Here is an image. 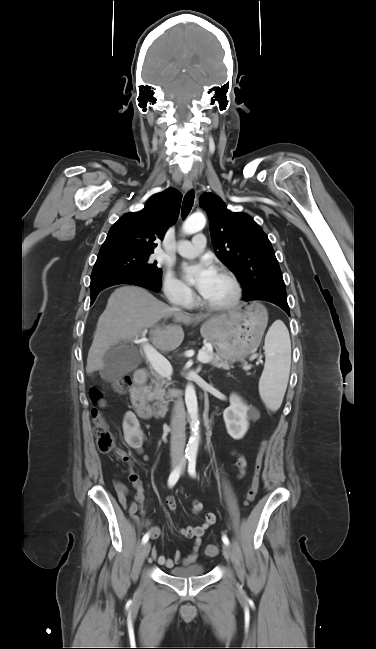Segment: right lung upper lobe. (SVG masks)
<instances>
[{
	"instance_id": "obj_1",
	"label": "right lung upper lobe",
	"mask_w": 376,
	"mask_h": 649,
	"mask_svg": "<svg viewBox=\"0 0 376 649\" xmlns=\"http://www.w3.org/2000/svg\"><path fill=\"white\" fill-rule=\"evenodd\" d=\"M182 194L173 188L152 195L145 207L122 216L109 230L99 254L117 251H153L179 215Z\"/></svg>"
}]
</instances>
